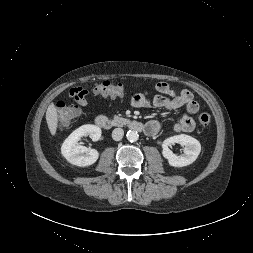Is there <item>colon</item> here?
I'll use <instances>...</instances> for the list:
<instances>
[{
    "label": "colon",
    "instance_id": "colon-1",
    "mask_svg": "<svg viewBox=\"0 0 253 253\" xmlns=\"http://www.w3.org/2000/svg\"><path fill=\"white\" fill-rule=\"evenodd\" d=\"M94 94L104 97H118L124 93V87L121 83H112L103 81L96 83L92 88ZM80 115V109L77 106H69L64 102L58 103V126L60 128L69 127L75 119ZM211 121V116L208 112H202L198 116V122L201 126L206 127Z\"/></svg>",
    "mask_w": 253,
    "mask_h": 253
}]
</instances>
